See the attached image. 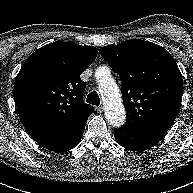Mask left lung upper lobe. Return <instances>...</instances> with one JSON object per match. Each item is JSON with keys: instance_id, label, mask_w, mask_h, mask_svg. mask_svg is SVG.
<instances>
[{"instance_id": "1", "label": "left lung upper lobe", "mask_w": 193, "mask_h": 193, "mask_svg": "<svg viewBox=\"0 0 193 193\" xmlns=\"http://www.w3.org/2000/svg\"><path fill=\"white\" fill-rule=\"evenodd\" d=\"M122 78L127 121L122 128L169 129L179 113L183 80L175 59L163 47L140 39L100 49Z\"/></svg>"}]
</instances>
